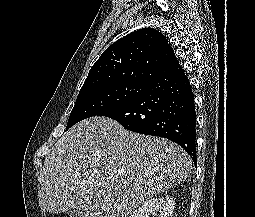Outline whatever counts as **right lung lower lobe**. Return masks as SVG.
<instances>
[{"label": "right lung lower lobe", "instance_id": "98d812e1", "mask_svg": "<svg viewBox=\"0 0 255 217\" xmlns=\"http://www.w3.org/2000/svg\"><path fill=\"white\" fill-rule=\"evenodd\" d=\"M133 132L178 143L196 165V112L190 82L182 68L149 83L129 103L102 113Z\"/></svg>", "mask_w": 255, "mask_h": 217}]
</instances>
